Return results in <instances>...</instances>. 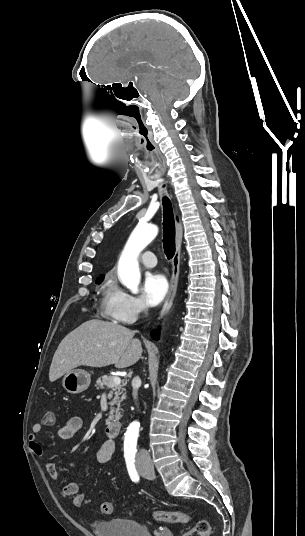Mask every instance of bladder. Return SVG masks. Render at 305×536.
Returning a JSON list of instances; mask_svg holds the SVG:
<instances>
[{
  "label": "bladder",
  "mask_w": 305,
  "mask_h": 536,
  "mask_svg": "<svg viewBox=\"0 0 305 536\" xmlns=\"http://www.w3.org/2000/svg\"><path fill=\"white\" fill-rule=\"evenodd\" d=\"M92 530L96 536H152L139 521L123 517L94 520Z\"/></svg>",
  "instance_id": "bladder-1"
}]
</instances>
